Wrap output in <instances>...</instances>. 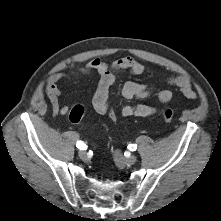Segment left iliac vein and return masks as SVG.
I'll use <instances>...</instances> for the list:
<instances>
[{
  "instance_id": "1",
  "label": "left iliac vein",
  "mask_w": 221,
  "mask_h": 221,
  "mask_svg": "<svg viewBox=\"0 0 221 221\" xmlns=\"http://www.w3.org/2000/svg\"><path fill=\"white\" fill-rule=\"evenodd\" d=\"M115 161L120 164L121 166L123 165H133L137 161V157L135 155H131L127 158H122L121 154L119 152H116L114 155Z\"/></svg>"
}]
</instances>
